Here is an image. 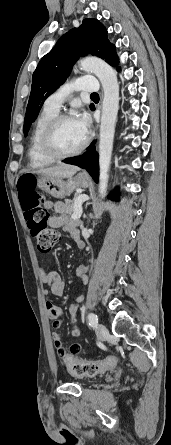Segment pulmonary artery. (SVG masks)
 <instances>
[{"instance_id":"1","label":"pulmonary artery","mask_w":171,"mask_h":445,"mask_svg":"<svg viewBox=\"0 0 171 445\" xmlns=\"http://www.w3.org/2000/svg\"><path fill=\"white\" fill-rule=\"evenodd\" d=\"M97 79L93 76H82L75 81L67 83L52 93L45 101V105L59 110L64 100L71 91L96 92L98 90Z\"/></svg>"}]
</instances>
